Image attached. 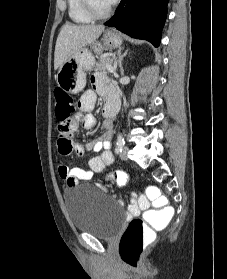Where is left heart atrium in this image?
Segmentation results:
<instances>
[{
  "mask_svg": "<svg viewBox=\"0 0 227 279\" xmlns=\"http://www.w3.org/2000/svg\"><path fill=\"white\" fill-rule=\"evenodd\" d=\"M111 4L114 3L116 0H108Z\"/></svg>",
  "mask_w": 227,
  "mask_h": 279,
  "instance_id": "obj_1",
  "label": "left heart atrium"
}]
</instances>
